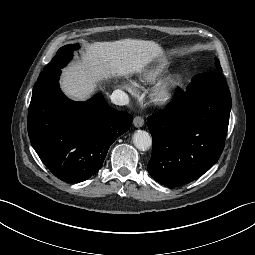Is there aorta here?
<instances>
[{"label": "aorta", "mask_w": 255, "mask_h": 255, "mask_svg": "<svg viewBox=\"0 0 255 255\" xmlns=\"http://www.w3.org/2000/svg\"><path fill=\"white\" fill-rule=\"evenodd\" d=\"M132 139L135 147L141 151H146L152 146V138L146 131L137 130Z\"/></svg>", "instance_id": "1"}]
</instances>
